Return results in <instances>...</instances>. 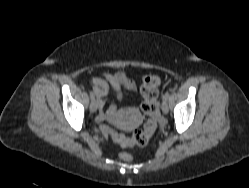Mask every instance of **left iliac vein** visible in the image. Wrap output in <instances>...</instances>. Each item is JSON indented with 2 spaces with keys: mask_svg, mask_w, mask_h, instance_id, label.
Masks as SVG:
<instances>
[{
  "mask_svg": "<svg viewBox=\"0 0 249 188\" xmlns=\"http://www.w3.org/2000/svg\"><path fill=\"white\" fill-rule=\"evenodd\" d=\"M162 111L164 114H167L169 111V106L166 100L162 101V105H161Z\"/></svg>",
  "mask_w": 249,
  "mask_h": 188,
  "instance_id": "1",
  "label": "left iliac vein"
}]
</instances>
